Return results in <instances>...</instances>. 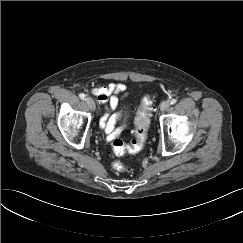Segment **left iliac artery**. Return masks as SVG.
I'll return each instance as SVG.
<instances>
[{"label":"left iliac artery","instance_id":"left-iliac-artery-1","mask_svg":"<svg viewBox=\"0 0 243 243\" xmlns=\"http://www.w3.org/2000/svg\"><path fill=\"white\" fill-rule=\"evenodd\" d=\"M176 102H177L176 99H172V100H170V104H171V105L175 104Z\"/></svg>","mask_w":243,"mask_h":243}]
</instances>
